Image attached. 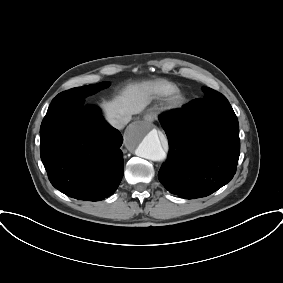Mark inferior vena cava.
I'll return each mask as SVG.
<instances>
[{
	"label": "inferior vena cava",
	"instance_id": "1",
	"mask_svg": "<svg viewBox=\"0 0 283 283\" xmlns=\"http://www.w3.org/2000/svg\"><path fill=\"white\" fill-rule=\"evenodd\" d=\"M129 122L128 118H124V119H110L109 123L116 129H123L124 126Z\"/></svg>",
	"mask_w": 283,
	"mask_h": 283
}]
</instances>
